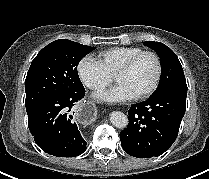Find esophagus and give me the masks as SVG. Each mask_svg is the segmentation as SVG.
I'll return each mask as SVG.
<instances>
[{"instance_id":"esophagus-1","label":"esophagus","mask_w":209,"mask_h":179,"mask_svg":"<svg viewBox=\"0 0 209 179\" xmlns=\"http://www.w3.org/2000/svg\"><path fill=\"white\" fill-rule=\"evenodd\" d=\"M73 114L79 122L87 123L95 117L96 109L90 101H79L74 106Z\"/></svg>"}]
</instances>
